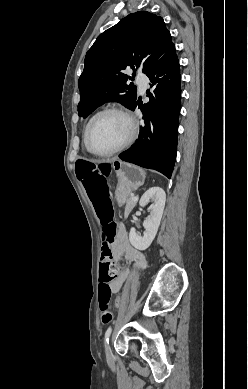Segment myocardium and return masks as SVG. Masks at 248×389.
<instances>
[{"mask_svg":"<svg viewBox=\"0 0 248 389\" xmlns=\"http://www.w3.org/2000/svg\"><path fill=\"white\" fill-rule=\"evenodd\" d=\"M110 113L118 114V115L122 116L127 121L128 125H129L128 135H127L126 139L120 145H118L117 147H115L112 150H109L106 152L94 151L90 148L89 142H88L90 129L97 119H99L103 115L110 114ZM137 132H138L137 122H136L135 118L126 109H124L120 106H109V107L102 109L98 113H96L89 120V122L87 123L86 129H85V133H84V143H85L86 149L91 154H94V155L100 156V157L112 156V155L124 150L129 145H131L137 136Z\"/></svg>","mask_w":248,"mask_h":389,"instance_id":"obj_1","label":"myocardium"}]
</instances>
